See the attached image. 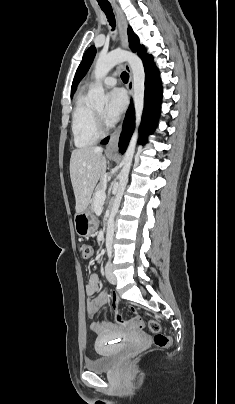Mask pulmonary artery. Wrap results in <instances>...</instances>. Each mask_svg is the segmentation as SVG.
<instances>
[{
  "label": "pulmonary artery",
  "mask_w": 235,
  "mask_h": 404,
  "mask_svg": "<svg viewBox=\"0 0 235 404\" xmlns=\"http://www.w3.org/2000/svg\"><path fill=\"white\" fill-rule=\"evenodd\" d=\"M116 82H117L116 73L108 75L102 80V84L105 87H112V86H114L116 84Z\"/></svg>",
  "instance_id": "e3ab8cb5"
}]
</instances>
